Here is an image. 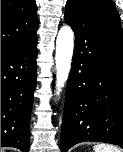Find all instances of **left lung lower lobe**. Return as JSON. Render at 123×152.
<instances>
[{"mask_svg": "<svg viewBox=\"0 0 123 152\" xmlns=\"http://www.w3.org/2000/svg\"><path fill=\"white\" fill-rule=\"evenodd\" d=\"M75 32L61 152L80 142L123 148V40L77 13L64 15Z\"/></svg>", "mask_w": 123, "mask_h": 152, "instance_id": "1", "label": "left lung lower lobe"}]
</instances>
